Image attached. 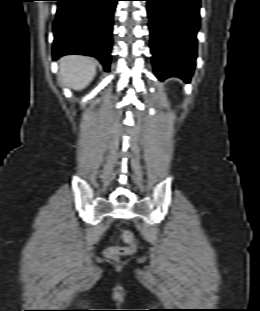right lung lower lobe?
Here are the masks:
<instances>
[{"instance_id":"right-lung-lower-lobe-1","label":"right lung lower lobe","mask_w":260,"mask_h":311,"mask_svg":"<svg viewBox=\"0 0 260 311\" xmlns=\"http://www.w3.org/2000/svg\"><path fill=\"white\" fill-rule=\"evenodd\" d=\"M53 59L67 54L96 57L109 71L117 0H56Z\"/></svg>"}]
</instances>
